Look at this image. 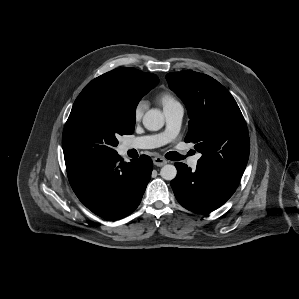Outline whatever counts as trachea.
<instances>
[{
    "label": "trachea",
    "mask_w": 299,
    "mask_h": 299,
    "mask_svg": "<svg viewBox=\"0 0 299 299\" xmlns=\"http://www.w3.org/2000/svg\"><path fill=\"white\" fill-rule=\"evenodd\" d=\"M166 158L172 161H179L184 159V157L177 152H168L166 154Z\"/></svg>",
    "instance_id": "3493384b"
}]
</instances>
